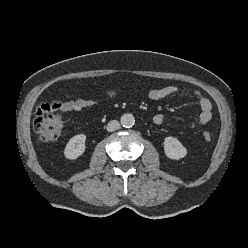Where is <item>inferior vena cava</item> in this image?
I'll return each mask as SVG.
<instances>
[{
  "mask_svg": "<svg viewBox=\"0 0 248 248\" xmlns=\"http://www.w3.org/2000/svg\"><path fill=\"white\" fill-rule=\"evenodd\" d=\"M119 127H120V123L117 120H112L107 124L106 129L108 132H113L119 129Z\"/></svg>",
  "mask_w": 248,
  "mask_h": 248,
  "instance_id": "602c4592",
  "label": "inferior vena cava"
}]
</instances>
